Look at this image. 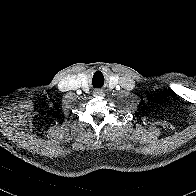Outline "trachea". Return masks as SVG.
Instances as JSON below:
<instances>
[{"label":"trachea","mask_w":196,"mask_h":196,"mask_svg":"<svg viewBox=\"0 0 196 196\" xmlns=\"http://www.w3.org/2000/svg\"><path fill=\"white\" fill-rule=\"evenodd\" d=\"M93 86L96 88H100L101 86L100 85H98V84H96V83H93Z\"/></svg>","instance_id":"trachea-1"}]
</instances>
